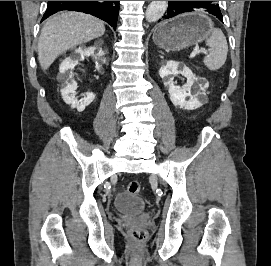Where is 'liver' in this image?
<instances>
[{"label":"liver","mask_w":271,"mask_h":266,"mask_svg":"<svg viewBox=\"0 0 271 266\" xmlns=\"http://www.w3.org/2000/svg\"><path fill=\"white\" fill-rule=\"evenodd\" d=\"M105 33L104 23L80 12H62L48 19L38 41V60L47 70L58 55Z\"/></svg>","instance_id":"obj_1"}]
</instances>
